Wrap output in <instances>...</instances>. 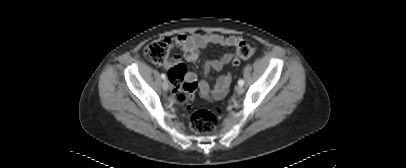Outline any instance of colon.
I'll list each match as a JSON object with an SVG mask.
<instances>
[{
  "mask_svg": "<svg viewBox=\"0 0 406 168\" xmlns=\"http://www.w3.org/2000/svg\"><path fill=\"white\" fill-rule=\"evenodd\" d=\"M172 43L169 39H157L150 42L144 49V56L154 64H163L171 51ZM255 48L246 42H240L232 60L234 65L240 64L253 56ZM187 68L184 64H177L169 71L172 82L171 95L178 104H188L193 99V93L197 87L195 82L182 81ZM189 122L192 130L202 136H209L214 133L217 127V118L208 110L200 109L194 111Z\"/></svg>",
  "mask_w": 406,
  "mask_h": 168,
  "instance_id": "colon-1",
  "label": "colon"
}]
</instances>
